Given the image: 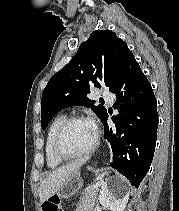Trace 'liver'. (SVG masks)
<instances>
[{"label":"liver","mask_w":179,"mask_h":211,"mask_svg":"<svg viewBox=\"0 0 179 211\" xmlns=\"http://www.w3.org/2000/svg\"><path fill=\"white\" fill-rule=\"evenodd\" d=\"M83 163L84 160H78L50 172L40 185V202L43 203L48 198L56 194L69 176L72 173L79 171Z\"/></svg>","instance_id":"liver-1"}]
</instances>
